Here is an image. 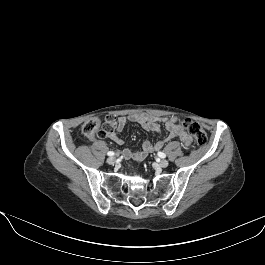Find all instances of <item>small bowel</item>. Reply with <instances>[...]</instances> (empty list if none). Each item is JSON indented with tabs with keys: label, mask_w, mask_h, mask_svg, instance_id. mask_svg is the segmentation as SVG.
Listing matches in <instances>:
<instances>
[{
	"label": "small bowel",
	"mask_w": 265,
	"mask_h": 265,
	"mask_svg": "<svg viewBox=\"0 0 265 265\" xmlns=\"http://www.w3.org/2000/svg\"><path fill=\"white\" fill-rule=\"evenodd\" d=\"M128 123H136L152 133H159L161 131V124H163L168 131L166 138L154 142L149 140L144 141L141 149L138 151L130 149L123 150L122 156L128 160H143L148 154L161 149L166 141L173 138H179L185 147L191 146L193 141L191 135L179 125L178 117H160L148 113H133L118 117L113 122V128L107 133V137L114 143L123 145L124 140L121 138L120 133Z\"/></svg>",
	"instance_id": "c3829d8e"
}]
</instances>
